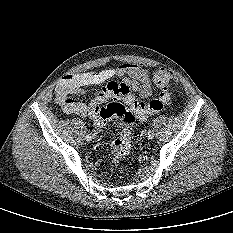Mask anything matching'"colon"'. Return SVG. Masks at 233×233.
Masks as SVG:
<instances>
[{"mask_svg": "<svg viewBox=\"0 0 233 233\" xmlns=\"http://www.w3.org/2000/svg\"><path fill=\"white\" fill-rule=\"evenodd\" d=\"M153 81L160 89L158 97L146 101H139L126 87L121 85L120 93L124 102L112 101L105 107L93 106L91 117L97 124H104L113 117H120L123 126L120 136L114 141L111 148V167L117 168L123 158L131 149L132 124L136 118L146 119L148 116L158 113L170 100V90L174 83V76L171 71L159 68L153 73Z\"/></svg>", "mask_w": 233, "mask_h": 233, "instance_id": "obj_1", "label": "colon"}]
</instances>
